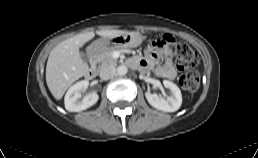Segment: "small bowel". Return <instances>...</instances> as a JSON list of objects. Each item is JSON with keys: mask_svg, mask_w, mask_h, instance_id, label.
Returning <instances> with one entry per match:
<instances>
[{"mask_svg": "<svg viewBox=\"0 0 258 158\" xmlns=\"http://www.w3.org/2000/svg\"><path fill=\"white\" fill-rule=\"evenodd\" d=\"M159 49L149 47L145 50L143 57H133L128 60V65L141 71L153 70L154 73L169 80L177 77V70L173 64L172 52L165 46ZM162 63L159 64V61Z\"/></svg>", "mask_w": 258, "mask_h": 158, "instance_id": "small-bowel-1", "label": "small bowel"}]
</instances>
